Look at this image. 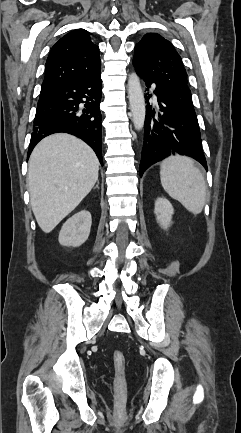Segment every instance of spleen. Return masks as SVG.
Segmentation results:
<instances>
[{"label": "spleen", "mask_w": 241, "mask_h": 433, "mask_svg": "<svg viewBox=\"0 0 241 433\" xmlns=\"http://www.w3.org/2000/svg\"><path fill=\"white\" fill-rule=\"evenodd\" d=\"M160 180L164 190L178 200L189 212H202L206 199V185L201 171L186 156L166 158L160 167Z\"/></svg>", "instance_id": "obj_1"}]
</instances>
